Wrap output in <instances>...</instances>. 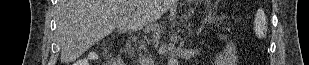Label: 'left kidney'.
I'll use <instances>...</instances> for the list:
<instances>
[{"label":"left kidney","instance_id":"5707ae66","mask_svg":"<svg viewBox=\"0 0 309 65\" xmlns=\"http://www.w3.org/2000/svg\"><path fill=\"white\" fill-rule=\"evenodd\" d=\"M220 39H226L227 36L220 35ZM238 62V56L236 51L235 44L230 41L227 43L226 48L223 50L222 53H220L215 60V63L217 65H237Z\"/></svg>","mask_w":309,"mask_h":65}]
</instances>
